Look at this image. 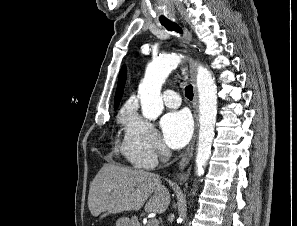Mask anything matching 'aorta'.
Segmentation results:
<instances>
[{
	"instance_id": "aorta-1",
	"label": "aorta",
	"mask_w": 297,
	"mask_h": 226,
	"mask_svg": "<svg viewBox=\"0 0 297 226\" xmlns=\"http://www.w3.org/2000/svg\"><path fill=\"white\" fill-rule=\"evenodd\" d=\"M182 61V56L172 53L157 57L146 69L139 85L142 114L155 120L164 108L161 87L166 78ZM197 89L199 93V137L196 154V174H204V167L210 158L217 116V86L211 72L199 65L197 68Z\"/></svg>"
}]
</instances>
